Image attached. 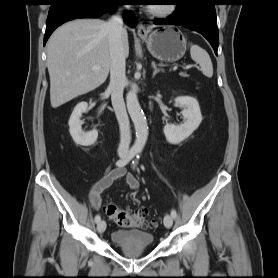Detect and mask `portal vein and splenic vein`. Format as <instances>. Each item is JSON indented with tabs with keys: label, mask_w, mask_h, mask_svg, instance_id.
Instances as JSON below:
<instances>
[{
	"label": "portal vein and splenic vein",
	"mask_w": 278,
	"mask_h": 278,
	"mask_svg": "<svg viewBox=\"0 0 278 278\" xmlns=\"http://www.w3.org/2000/svg\"><path fill=\"white\" fill-rule=\"evenodd\" d=\"M191 67H192L191 65H186V66L184 67V69H185V70H189ZM91 69H92L93 71H99V70H100V67L97 66V65H94V66L91 67Z\"/></svg>",
	"instance_id": "obj_1"
}]
</instances>
